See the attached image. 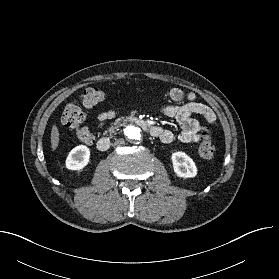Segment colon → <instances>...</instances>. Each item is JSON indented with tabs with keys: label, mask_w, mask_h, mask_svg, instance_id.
I'll use <instances>...</instances> for the list:
<instances>
[{
	"label": "colon",
	"mask_w": 279,
	"mask_h": 279,
	"mask_svg": "<svg viewBox=\"0 0 279 279\" xmlns=\"http://www.w3.org/2000/svg\"><path fill=\"white\" fill-rule=\"evenodd\" d=\"M105 92L99 88L90 87L81 94V104L70 102L64 107L61 121L63 125L76 134L77 139L85 144L93 142V135L88 128L83 126L85 113L83 108H91L105 99ZM199 156L204 160L214 157L215 146L212 142L209 131H204L202 141L198 148Z\"/></svg>",
	"instance_id": "5ec220e1"
}]
</instances>
